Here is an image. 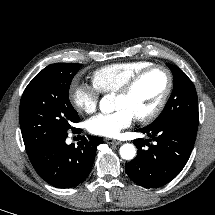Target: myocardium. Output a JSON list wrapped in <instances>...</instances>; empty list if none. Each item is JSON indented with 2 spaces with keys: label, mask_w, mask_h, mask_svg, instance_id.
<instances>
[{
  "label": "myocardium",
  "mask_w": 215,
  "mask_h": 215,
  "mask_svg": "<svg viewBox=\"0 0 215 215\" xmlns=\"http://www.w3.org/2000/svg\"><path fill=\"white\" fill-rule=\"evenodd\" d=\"M155 70H161L165 73L167 77V85L165 88V91L157 103V105L147 114L135 117V119L138 122L141 123H149L153 120H155L163 111L165 108L168 99L171 95L172 89H173V84H174V79L171 70L160 64H154L149 67L144 68L143 70L139 71L135 75H133L116 93L117 95H122V96H127L129 95L134 88L137 86V84L149 73L155 71Z\"/></svg>",
  "instance_id": "myocardium-1"
}]
</instances>
